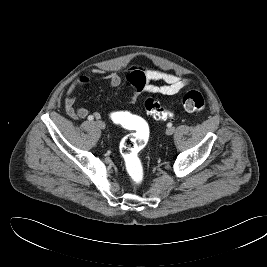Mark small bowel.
<instances>
[{
  "mask_svg": "<svg viewBox=\"0 0 267 267\" xmlns=\"http://www.w3.org/2000/svg\"><path fill=\"white\" fill-rule=\"evenodd\" d=\"M99 76L105 80L110 87L118 88L121 85V77L112 72L107 75ZM127 82L133 87L134 92L130 98V102H135L141 92L146 91L150 93H159L163 95H175L180 92L189 81L177 74L165 73L154 69H146L138 66L133 68L127 75ZM155 82H161L158 85ZM90 79L87 76H79L68 87L66 91V98L64 101V108L66 113L75 119L93 118L100 119L101 115L98 112H91L84 107H76V94L80 87L88 85Z\"/></svg>",
  "mask_w": 267,
  "mask_h": 267,
  "instance_id": "obj_1",
  "label": "small bowel"
}]
</instances>
